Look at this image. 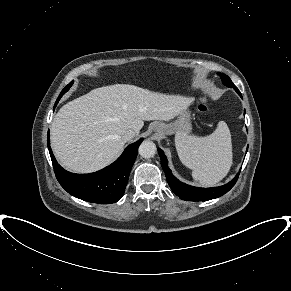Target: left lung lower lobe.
Wrapping results in <instances>:
<instances>
[{"label":"left lung lower lobe","instance_id":"0a47b994","mask_svg":"<svg viewBox=\"0 0 291 291\" xmlns=\"http://www.w3.org/2000/svg\"><path fill=\"white\" fill-rule=\"evenodd\" d=\"M241 96V94H239ZM242 97V96H241ZM159 156L161 158V166L165 172L167 182L172 191L185 201H207L218 198L227 193L236 183L239 173L227 184L212 187V188H199L187 185L180 182L171 172L168 167V161L161 149H158Z\"/></svg>","mask_w":291,"mask_h":291}]
</instances>
